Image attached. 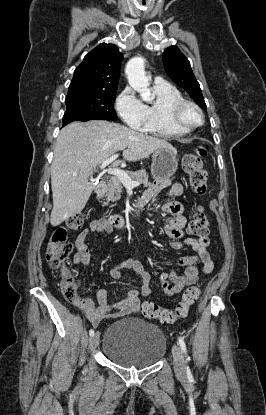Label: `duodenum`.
I'll list each match as a JSON object with an SVG mask.
<instances>
[{
  "label": "duodenum",
  "mask_w": 266,
  "mask_h": 415,
  "mask_svg": "<svg viewBox=\"0 0 266 415\" xmlns=\"http://www.w3.org/2000/svg\"><path fill=\"white\" fill-rule=\"evenodd\" d=\"M105 187H106V184L104 182H100L95 186L94 192L100 196L103 194ZM142 206L143 205L139 203L137 207L134 209L133 214H131L130 217H127V218L123 216H119V215L111 216L110 218L107 219V224L110 227H114V228L125 227L128 223L134 221L138 217L140 208Z\"/></svg>",
  "instance_id": "1"
}]
</instances>
